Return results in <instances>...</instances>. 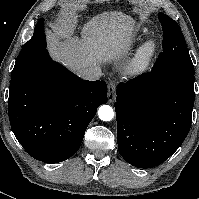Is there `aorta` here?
Segmentation results:
<instances>
[{
  "label": "aorta",
  "mask_w": 199,
  "mask_h": 199,
  "mask_svg": "<svg viewBox=\"0 0 199 199\" xmlns=\"http://www.w3.org/2000/svg\"><path fill=\"white\" fill-rule=\"evenodd\" d=\"M98 116L102 121H111L114 118L113 108L109 105H102L98 110Z\"/></svg>",
  "instance_id": "obj_1"
}]
</instances>
